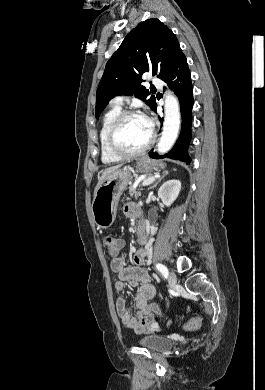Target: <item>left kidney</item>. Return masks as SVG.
I'll return each instance as SVG.
<instances>
[{"mask_svg": "<svg viewBox=\"0 0 265 390\" xmlns=\"http://www.w3.org/2000/svg\"><path fill=\"white\" fill-rule=\"evenodd\" d=\"M181 190V182L176 179L168 180L158 190V196L164 205L170 206L178 197Z\"/></svg>", "mask_w": 265, "mask_h": 390, "instance_id": "obj_1", "label": "left kidney"}]
</instances>
